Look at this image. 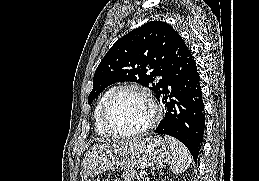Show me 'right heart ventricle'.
Instances as JSON below:
<instances>
[{
	"instance_id": "right-heart-ventricle-1",
	"label": "right heart ventricle",
	"mask_w": 259,
	"mask_h": 181,
	"mask_svg": "<svg viewBox=\"0 0 259 181\" xmlns=\"http://www.w3.org/2000/svg\"><path fill=\"white\" fill-rule=\"evenodd\" d=\"M114 88L107 89L99 98L94 110H93V122L95 126V130L98 135L102 137H110L112 136L110 132L104 127L102 123V109L103 106L109 97V95L112 93Z\"/></svg>"
}]
</instances>
